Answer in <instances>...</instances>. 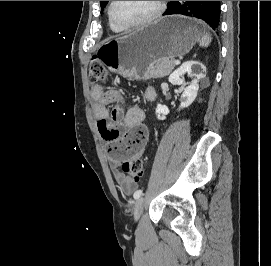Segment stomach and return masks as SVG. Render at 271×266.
Segmentation results:
<instances>
[{
  "label": "stomach",
  "instance_id": "1",
  "mask_svg": "<svg viewBox=\"0 0 271 266\" xmlns=\"http://www.w3.org/2000/svg\"><path fill=\"white\" fill-rule=\"evenodd\" d=\"M202 35L203 27L198 20L168 16L103 43L97 57L111 72L142 80L149 77L152 62L187 54Z\"/></svg>",
  "mask_w": 271,
  "mask_h": 266
}]
</instances>
